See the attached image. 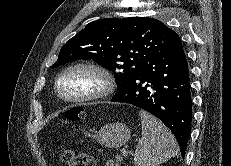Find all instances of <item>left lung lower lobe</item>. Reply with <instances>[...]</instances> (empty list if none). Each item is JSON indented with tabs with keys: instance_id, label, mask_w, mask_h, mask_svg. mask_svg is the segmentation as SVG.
<instances>
[{
	"instance_id": "1",
	"label": "left lung lower lobe",
	"mask_w": 231,
	"mask_h": 166,
	"mask_svg": "<svg viewBox=\"0 0 231 166\" xmlns=\"http://www.w3.org/2000/svg\"><path fill=\"white\" fill-rule=\"evenodd\" d=\"M190 89L187 58L175 33L111 101L132 104L159 118L175 135L184 157L192 121Z\"/></svg>"
}]
</instances>
